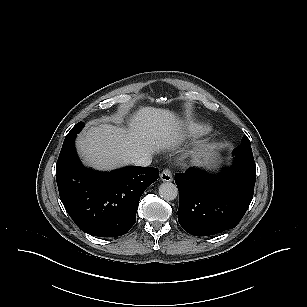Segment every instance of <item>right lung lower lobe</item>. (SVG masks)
<instances>
[{
	"instance_id": "98d812e1",
	"label": "right lung lower lobe",
	"mask_w": 307,
	"mask_h": 307,
	"mask_svg": "<svg viewBox=\"0 0 307 307\" xmlns=\"http://www.w3.org/2000/svg\"><path fill=\"white\" fill-rule=\"evenodd\" d=\"M75 137L65 138L56 164L59 195L67 213L92 236L126 234L135 224L142 193L158 179L159 170L130 166L102 173L84 168L75 152Z\"/></svg>"
}]
</instances>
